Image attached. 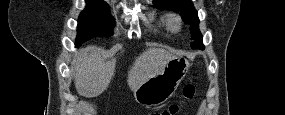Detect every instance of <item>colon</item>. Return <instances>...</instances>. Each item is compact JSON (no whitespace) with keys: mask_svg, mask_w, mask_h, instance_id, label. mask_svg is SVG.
<instances>
[{"mask_svg":"<svg viewBox=\"0 0 285 115\" xmlns=\"http://www.w3.org/2000/svg\"><path fill=\"white\" fill-rule=\"evenodd\" d=\"M197 95V87L194 82L187 83L183 88V98L180 103L172 104L167 109L155 115H176L181 108L192 101Z\"/></svg>","mask_w":285,"mask_h":115,"instance_id":"5ec220e1","label":"colon"}]
</instances>
